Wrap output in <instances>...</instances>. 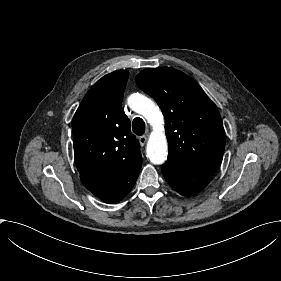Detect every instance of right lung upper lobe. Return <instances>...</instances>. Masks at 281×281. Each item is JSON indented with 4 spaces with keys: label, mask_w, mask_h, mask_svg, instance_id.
I'll use <instances>...</instances> for the list:
<instances>
[{
    "label": "right lung upper lobe",
    "mask_w": 281,
    "mask_h": 281,
    "mask_svg": "<svg viewBox=\"0 0 281 281\" xmlns=\"http://www.w3.org/2000/svg\"><path fill=\"white\" fill-rule=\"evenodd\" d=\"M128 77L127 70L102 77L73 117L75 163L82 183L97 197L110 191L142 160L140 144L121 107Z\"/></svg>",
    "instance_id": "1"
}]
</instances>
